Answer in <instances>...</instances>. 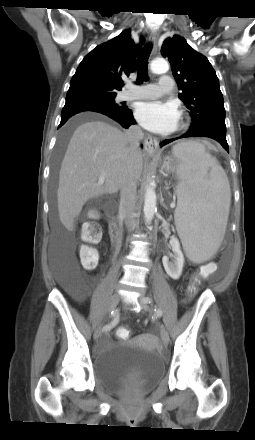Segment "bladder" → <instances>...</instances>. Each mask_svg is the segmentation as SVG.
<instances>
[{
	"label": "bladder",
	"instance_id": "bladder-1",
	"mask_svg": "<svg viewBox=\"0 0 255 440\" xmlns=\"http://www.w3.org/2000/svg\"><path fill=\"white\" fill-rule=\"evenodd\" d=\"M130 339L116 343L94 359L97 381L114 390L132 385L137 393L148 391L164 375L165 364L160 353Z\"/></svg>",
	"mask_w": 255,
	"mask_h": 440
}]
</instances>
